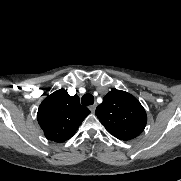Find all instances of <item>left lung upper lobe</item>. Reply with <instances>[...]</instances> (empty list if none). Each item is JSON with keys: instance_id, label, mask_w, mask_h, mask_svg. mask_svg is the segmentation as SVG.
Returning a JSON list of instances; mask_svg holds the SVG:
<instances>
[{"instance_id": "1", "label": "left lung upper lobe", "mask_w": 181, "mask_h": 181, "mask_svg": "<svg viewBox=\"0 0 181 181\" xmlns=\"http://www.w3.org/2000/svg\"><path fill=\"white\" fill-rule=\"evenodd\" d=\"M96 115L106 130L120 140H131L143 132L147 115L131 94L112 89L96 108Z\"/></svg>"}]
</instances>
